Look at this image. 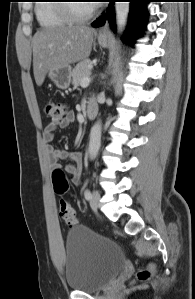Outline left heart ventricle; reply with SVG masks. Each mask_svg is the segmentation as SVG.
<instances>
[{"mask_svg": "<svg viewBox=\"0 0 195 299\" xmlns=\"http://www.w3.org/2000/svg\"><path fill=\"white\" fill-rule=\"evenodd\" d=\"M73 4L75 11L80 14H85L92 9V4L87 2H78Z\"/></svg>", "mask_w": 195, "mask_h": 299, "instance_id": "1", "label": "left heart ventricle"}]
</instances>
